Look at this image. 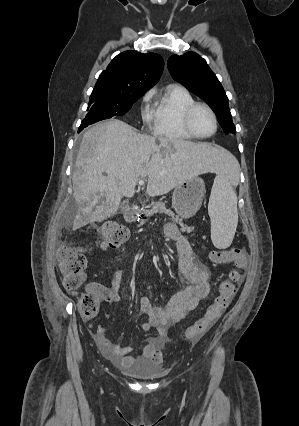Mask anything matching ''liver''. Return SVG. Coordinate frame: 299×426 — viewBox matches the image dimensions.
<instances>
[{
	"label": "liver",
	"instance_id": "1",
	"mask_svg": "<svg viewBox=\"0 0 299 426\" xmlns=\"http://www.w3.org/2000/svg\"><path fill=\"white\" fill-rule=\"evenodd\" d=\"M235 162L221 146L143 135L120 120L96 124L83 135L72 175L73 230L113 216L143 178L155 197L200 174L226 172Z\"/></svg>",
	"mask_w": 299,
	"mask_h": 426
}]
</instances>
